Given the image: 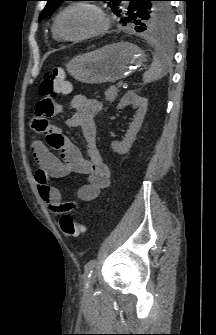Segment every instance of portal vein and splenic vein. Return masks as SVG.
<instances>
[{
  "label": "portal vein and splenic vein",
  "instance_id": "portal-vein-and-splenic-vein-1",
  "mask_svg": "<svg viewBox=\"0 0 216 335\" xmlns=\"http://www.w3.org/2000/svg\"><path fill=\"white\" fill-rule=\"evenodd\" d=\"M123 86V81L121 80V81H119L118 83H117V87L118 88H121Z\"/></svg>",
  "mask_w": 216,
  "mask_h": 335
}]
</instances>
